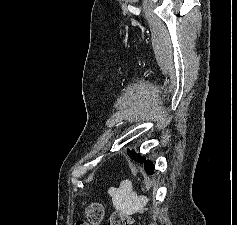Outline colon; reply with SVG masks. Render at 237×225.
I'll return each mask as SVG.
<instances>
[{"mask_svg": "<svg viewBox=\"0 0 237 225\" xmlns=\"http://www.w3.org/2000/svg\"><path fill=\"white\" fill-rule=\"evenodd\" d=\"M103 206L98 202L90 203L86 208V219L78 220L75 225H99L103 219ZM107 225H134V219L128 215L115 212Z\"/></svg>", "mask_w": 237, "mask_h": 225, "instance_id": "colon-1", "label": "colon"}]
</instances>
